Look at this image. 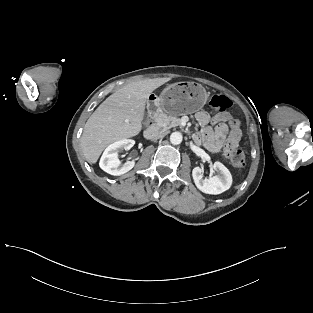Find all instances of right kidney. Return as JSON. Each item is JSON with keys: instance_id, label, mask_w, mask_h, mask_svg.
I'll return each instance as SVG.
<instances>
[{"instance_id": "ca27d5eb", "label": "right kidney", "mask_w": 313, "mask_h": 313, "mask_svg": "<svg viewBox=\"0 0 313 313\" xmlns=\"http://www.w3.org/2000/svg\"><path fill=\"white\" fill-rule=\"evenodd\" d=\"M134 144L135 141L132 139H122L110 144L101 156L99 162L100 168L114 176H119L130 171L135 166V162L132 160L121 164L118 154L124 149L129 150Z\"/></svg>"}]
</instances>
